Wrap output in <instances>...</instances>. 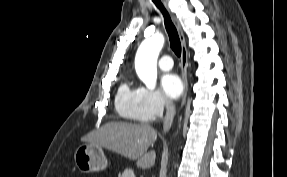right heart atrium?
Returning a JSON list of instances; mask_svg holds the SVG:
<instances>
[{"instance_id":"right-heart-atrium-1","label":"right heart atrium","mask_w":287,"mask_h":177,"mask_svg":"<svg viewBox=\"0 0 287 177\" xmlns=\"http://www.w3.org/2000/svg\"><path fill=\"white\" fill-rule=\"evenodd\" d=\"M142 114L147 120H155L169 109L170 104L158 90L140 87Z\"/></svg>"}]
</instances>
